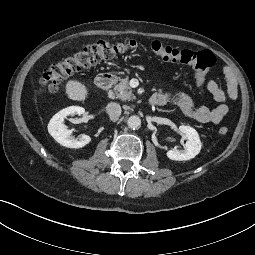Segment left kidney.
<instances>
[{"label": "left kidney", "instance_id": "1", "mask_svg": "<svg viewBox=\"0 0 255 255\" xmlns=\"http://www.w3.org/2000/svg\"><path fill=\"white\" fill-rule=\"evenodd\" d=\"M179 131L187 139L185 149H170L167 151V157L175 161L190 160L198 155L201 150L202 143L199 135L197 131L190 126L181 125L179 126Z\"/></svg>", "mask_w": 255, "mask_h": 255}]
</instances>
